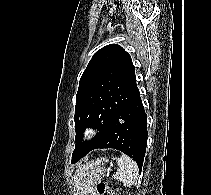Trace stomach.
Instances as JSON below:
<instances>
[{
	"instance_id": "stomach-1",
	"label": "stomach",
	"mask_w": 211,
	"mask_h": 195,
	"mask_svg": "<svg viewBox=\"0 0 211 195\" xmlns=\"http://www.w3.org/2000/svg\"><path fill=\"white\" fill-rule=\"evenodd\" d=\"M85 166L81 190L77 195H92L93 187L101 181L105 171L104 164H101L100 160L91 161Z\"/></svg>"
}]
</instances>
